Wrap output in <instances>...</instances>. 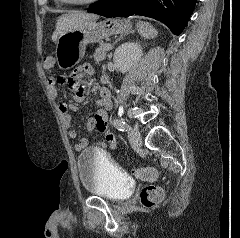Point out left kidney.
<instances>
[{
	"label": "left kidney",
	"instance_id": "left-kidney-1",
	"mask_svg": "<svg viewBox=\"0 0 240 238\" xmlns=\"http://www.w3.org/2000/svg\"><path fill=\"white\" fill-rule=\"evenodd\" d=\"M142 54V48L138 43L126 42L115 50L113 61L120 72L126 73L139 61Z\"/></svg>",
	"mask_w": 240,
	"mask_h": 238
}]
</instances>
